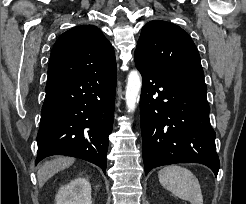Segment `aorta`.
Instances as JSON below:
<instances>
[{"instance_id":"1","label":"aorta","mask_w":246,"mask_h":204,"mask_svg":"<svg viewBox=\"0 0 246 204\" xmlns=\"http://www.w3.org/2000/svg\"><path fill=\"white\" fill-rule=\"evenodd\" d=\"M142 86L141 75L137 70H133L129 73L126 85V105L128 112H133L136 108V103L139 100L140 91Z\"/></svg>"}]
</instances>
